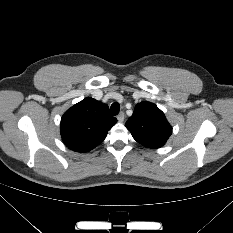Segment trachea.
<instances>
[{
  "label": "trachea",
  "mask_w": 233,
  "mask_h": 233,
  "mask_svg": "<svg viewBox=\"0 0 233 233\" xmlns=\"http://www.w3.org/2000/svg\"><path fill=\"white\" fill-rule=\"evenodd\" d=\"M119 111H120V105L118 103H113L111 105V114L115 116L119 113Z\"/></svg>",
  "instance_id": "trachea-1"
}]
</instances>
